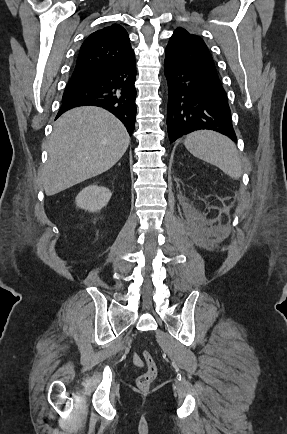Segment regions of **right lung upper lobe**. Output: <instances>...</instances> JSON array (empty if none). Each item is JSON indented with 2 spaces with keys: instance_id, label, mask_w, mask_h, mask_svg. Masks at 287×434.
<instances>
[{
  "instance_id": "obj_1",
  "label": "right lung upper lobe",
  "mask_w": 287,
  "mask_h": 434,
  "mask_svg": "<svg viewBox=\"0 0 287 434\" xmlns=\"http://www.w3.org/2000/svg\"><path fill=\"white\" fill-rule=\"evenodd\" d=\"M132 57L134 51L128 33L122 26L113 24L87 37L80 48L75 70L122 62Z\"/></svg>"
}]
</instances>
